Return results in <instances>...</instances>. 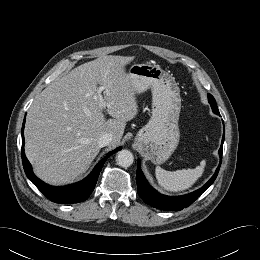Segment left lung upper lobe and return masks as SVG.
I'll return each instance as SVG.
<instances>
[{"label": "left lung upper lobe", "mask_w": 260, "mask_h": 260, "mask_svg": "<svg viewBox=\"0 0 260 260\" xmlns=\"http://www.w3.org/2000/svg\"><path fill=\"white\" fill-rule=\"evenodd\" d=\"M208 101L211 105V108L213 110V112L217 115H219V110L217 108V105H216V101L214 99V97L211 95V94H208Z\"/></svg>", "instance_id": "1"}]
</instances>
